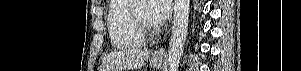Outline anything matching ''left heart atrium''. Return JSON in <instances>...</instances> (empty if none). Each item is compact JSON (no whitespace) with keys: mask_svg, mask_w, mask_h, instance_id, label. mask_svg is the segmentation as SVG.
Returning <instances> with one entry per match:
<instances>
[{"mask_svg":"<svg viewBox=\"0 0 301 71\" xmlns=\"http://www.w3.org/2000/svg\"><path fill=\"white\" fill-rule=\"evenodd\" d=\"M149 15L154 25H161L171 13L170 0H150Z\"/></svg>","mask_w":301,"mask_h":71,"instance_id":"1","label":"left heart atrium"}]
</instances>
